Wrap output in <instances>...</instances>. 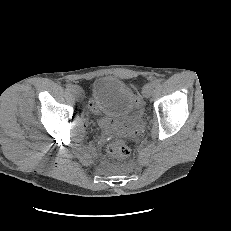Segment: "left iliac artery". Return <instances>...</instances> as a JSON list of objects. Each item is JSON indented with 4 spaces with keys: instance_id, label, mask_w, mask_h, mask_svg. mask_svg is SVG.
<instances>
[{
    "instance_id": "1",
    "label": "left iliac artery",
    "mask_w": 231,
    "mask_h": 231,
    "mask_svg": "<svg viewBox=\"0 0 231 231\" xmlns=\"http://www.w3.org/2000/svg\"><path fill=\"white\" fill-rule=\"evenodd\" d=\"M152 84L154 85V87H157V86H159V85L161 84V80L156 79V80H154V81L152 82Z\"/></svg>"
}]
</instances>
